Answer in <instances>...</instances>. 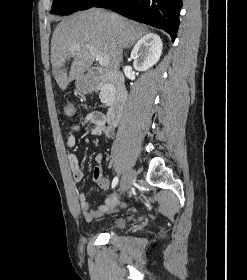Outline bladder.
Masks as SVG:
<instances>
[{"label":"bladder","instance_id":"1","mask_svg":"<svg viewBox=\"0 0 247 280\" xmlns=\"http://www.w3.org/2000/svg\"><path fill=\"white\" fill-rule=\"evenodd\" d=\"M125 225V220L123 218H116L113 221H111L108 225L104 226L106 227H112V228H121Z\"/></svg>","mask_w":247,"mask_h":280}]
</instances>
